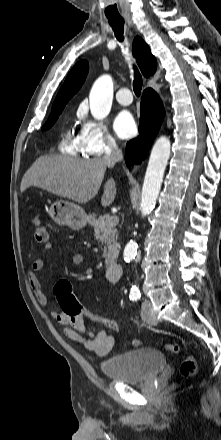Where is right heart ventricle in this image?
<instances>
[{"label": "right heart ventricle", "instance_id": "e07e8e85", "mask_svg": "<svg viewBox=\"0 0 221 440\" xmlns=\"http://www.w3.org/2000/svg\"><path fill=\"white\" fill-rule=\"evenodd\" d=\"M59 150L63 154L73 157H77L80 152L84 153L79 134L66 128L59 142Z\"/></svg>", "mask_w": 221, "mask_h": 440}]
</instances>
